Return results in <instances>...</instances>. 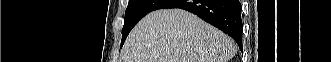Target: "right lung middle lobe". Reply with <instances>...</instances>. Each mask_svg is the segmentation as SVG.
Here are the masks:
<instances>
[{
    "mask_svg": "<svg viewBox=\"0 0 331 62\" xmlns=\"http://www.w3.org/2000/svg\"><path fill=\"white\" fill-rule=\"evenodd\" d=\"M172 0H129L125 11L124 26L122 29L123 45L132 28L148 13L164 8Z\"/></svg>",
    "mask_w": 331,
    "mask_h": 62,
    "instance_id": "1",
    "label": "right lung middle lobe"
}]
</instances>
